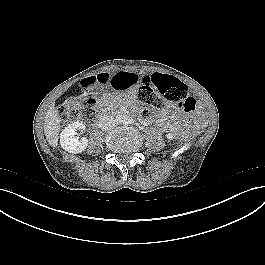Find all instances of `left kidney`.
<instances>
[{"instance_id": "5707ae66", "label": "left kidney", "mask_w": 265, "mask_h": 265, "mask_svg": "<svg viewBox=\"0 0 265 265\" xmlns=\"http://www.w3.org/2000/svg\"><path fill=\"white\" fill-rule=\"evenodd\" d=\"M166 136H167L168 139H173L174 138V135L173 134H170V133L167 134Z\"/></svg>"}]
</instances>
